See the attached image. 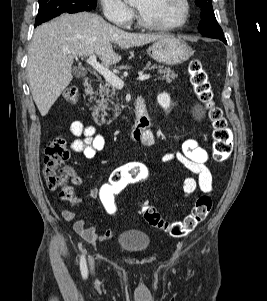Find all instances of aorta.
<instances>
[{
  "label": "aorta",
  "instance_id": "1",
  "mask_svg": "<svg viewBox=\"0 0 267 301\" xmlns=\"http://www.w3.org/2000/svg\"><path fill=\"white\" fill-rule=\"evenodd\" d=\"M125 1H128V2H135L136 0H125Z\"/></svg>",
  "mask_w": 267,
  "mask_h": 301
}]
</instances>
